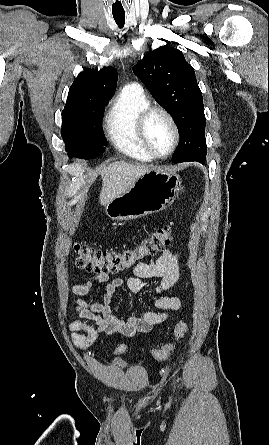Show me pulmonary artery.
Instances as JSON below:
<instances>
[{"instance_id": "pulmonary-artery-1", "label": "pulmonary artery", "mask_w": 269, "mask_h": 445, "mask_svg": "<svg viewBox=\"0 0 269 445\" xmlns=\"http://www.w3.org/2000/svg\"><path fill=\"white\" fill-rule=\"evenodd\" d=\"M128 86H130V87H134V88H137V89H140V90H141V87H140L138 84H136V83H132V84H130V85H128Z\"/></svg>"}]
</instances>
